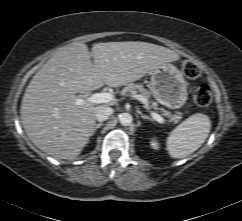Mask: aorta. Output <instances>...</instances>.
I'll list each match as a JSON object with an SVG mask.
<instances>
[{
    "label": "aorta",
    "mask_w": 242,
    "mask_h": 221,
    "mask_svg": "<svg viewBox=\"0 0 242 221\" xmlns=\"http://www.w3.org/2000/svg\"><path fill=\"white\" fill-rule=\"evenodd\" d=\"M119 121L123 126H129L132 123L133 118L129 113H121L119 115Z\"/></svg>",
    "instance_id": "obj_1"
}]
</instances>
